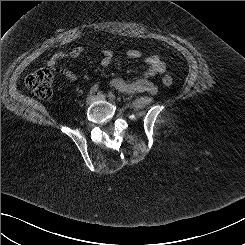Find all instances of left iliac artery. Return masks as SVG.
I'll return each mask as SVG.
<instances>
[{
	"mask_svg": "<svg viewBox=\"0 0 245 245\" xmlns=\"http://www.w3.org/2000/svg\"><path fill=\"white\" fill-rule=\"evenodd\" d=\"M108 97H109L111 100H115V99H116V96H115L112 92H109V93H108Z\"/></svg>",
	"mask_w": 245,
	"mask_h": 245,
	"instance_id": "left-iliac-artery-1",
	"label": "left iliac artery"
}]
</instances>
